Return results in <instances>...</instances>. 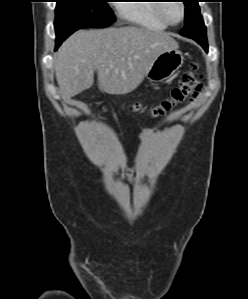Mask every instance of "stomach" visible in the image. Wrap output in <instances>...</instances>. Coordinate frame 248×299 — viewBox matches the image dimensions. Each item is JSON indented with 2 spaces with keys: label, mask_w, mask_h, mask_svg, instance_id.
Masks as SVG:
<instances>
[{
  "label": "stomach",
  "mask_w": 248,
  "mask_h": 299,
  "mask_svg": "<svg viewBox=\"0 0 248 299\" xmlns=\"http://www.w3.org/2000/svg\"><path fill=\"white\" fill-rule=\"evenodd\" d=\"M183 60V54L179 50L165 51L155 59L145 76L151 82H162L181 67Z\"/></svg>",
  "instance_id": "stomach-1"
}]
</instances>
